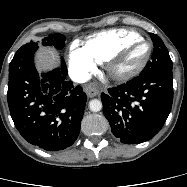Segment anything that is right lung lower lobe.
I'll return each instance as SVG.
<instances>
[{"label": "right lung lower lobe", "mask_w": 187, "mask_h": 187, "mask_svg": "<svg viewBox=\"0 0 187 187\" xmlns=\"http://www.w3.org/2000/svg\"><path fill=\"white\" fill-rule=\"evenodd\" d=\"M38 46L23 45L9 67L8 106L13 122L29 143L47 151L71 146L80 132L87 96L80 85L66 79L61 68L39 74L33 57Z\"/></svg>", "instance_id": "98d812e1"}]
</instances>
